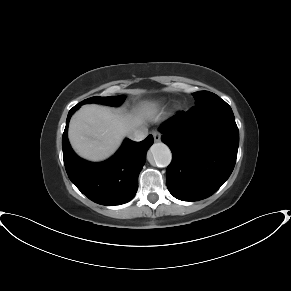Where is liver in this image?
I'll use <instances>...</instances> for the list:
<instances>
[{
  "instance_id": "6515ba94",
  "label": "liver",
  "mask_w": 291,
  "mask_h": 291,
  "mask_svg": "<svg viewBox=\"0 0 291 291\" xmlns=\"http://www.w3.org/2000/svg\"><path fill=\"white\" fill-rule=\"evenodd\" d=\"M155 114L154 107L149 104L128 114L100 105H84L70 121L68 138L79 156L94 162L102 161L118 149L130 132L149 120H157Z\"/></svg>"
}]
</instances>
